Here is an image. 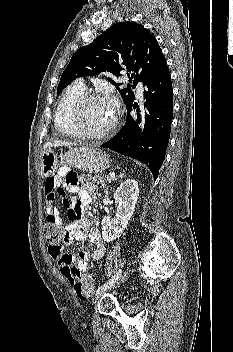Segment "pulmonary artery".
Segmentation results:
<instances>
[{
	"label": "pulmonary artery",
	"instance_id": "e3ab8cb5",
	"mask_svg": "<svg viewBox=\"0 0 233 352\" xmlns=\"http://www.w3.org/2000/svg\"><path fill=\"white\" fill-rule=\"evenodd\" d=\"M76 83L85 88V84H84V82L81 79H79ZM137 96L138 97H142L143 96V87H142L141 84H138V86H137Z\"/></svg>",
	"mask_w": 233,
	"mask_h": 352
}]
</instances>
